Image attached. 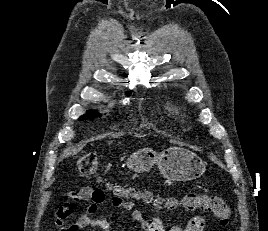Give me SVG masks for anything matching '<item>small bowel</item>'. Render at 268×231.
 Masks as SVG:
<instances>
[{"mask_svg": "<svg viewBox=\"0 0 268 231\" xmlns=\"http://www.w3.org/2000/svg\"><path fill=\"white\" fill-rule=\"evenodd\" d=\"M76 201H86L89 203L85 213L79 215L75 221L70 218L74 212ZM106 201V194L102 188L85 186L81 191L72 195L70 201L64 202L54 214V223L60 231H84L90 228H97L102 231H113L108 219L98 215L100 207ZM116 208L128 210L131 218L137 222L144 231H204L205 219L201 216L191 218L186 225H175L166 229L161 217L156 214L152 219H146L142 212L135 209L132 203L115 202Z\"/></svg>", "mask_w": 268, "mask_h": 231, "instance_id": "1", "label": "small bowel"}]
</instances>
